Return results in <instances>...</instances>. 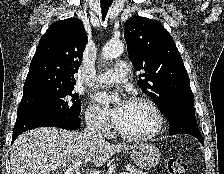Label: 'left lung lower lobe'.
Listing matches in <instances>:
<instances>
[{"mask_svg": "<svg viewBox=\"0 0 224 174\" xmlns=\"http://www.w3.org/2000/svg\"><path fill=\"white\" fill-rule=\"evenodd\" d=\"M167 120L169 122L170 135L189 134L204 145V140L197 125L194 104H180L176 106L167 117Z\"/></svg>", "mask_w": 224, "mask_h": 174, "instance_id": "0a47b994", "label": "left lung lower lobe"}]
</instances>
